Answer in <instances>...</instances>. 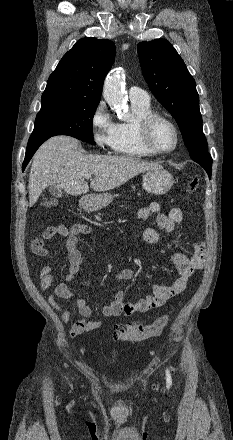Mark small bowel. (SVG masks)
Masks as SVG:
<instances>
[{"instance_id": "c3829d8e", "label": "small bowel", "mask_w": 233, "mask_h": 440, "mask_svg": "<svg viewBox=\"0 0 233 440\" xmlns=\"http://www.w3.org/2000/svg\"><path fill=\"white\" fill-rule=\"evenodd\" d=\"M150 215H155L157 226L167 233H172L177 224L182 222L184 216L182 211L174 207L168 214L161 212V206L158 202H151L148 207L141 208L137 212L139 219H147ZM91 232V227L84 223H76L67 227L65 225L52 226L45 229L31 243L32 251L38 256H47L49 248L47 241L56 237L66 238V249L70 262L69 271L66 281H73L77 278L78 273L86 261L87 256L82 254L77 248L78 238L81 235H87ZM144 240L149 244L158 243L162 236L159 231L152 227H148L143 232ZM194 252L190 255L184 252L173 253L171 259L179 273L178 278L171 285L156 284L153 287V294L142 298L135 302H125V293L118 290L114 293L113 298L102 308V315L105 317L116 316H132L134 314L145 313L151 309L162 307L169 299L182 293L190 277L196 270L202 269L206 259V248L202 241L194 243ZM134 277V271L125 268L119 271L115 280L117 282L130 280ZM55 276L52 268L45 265L40 273V288L42 291L47 290L54 282ZM70 300L74 299L75 305L81 318L75 321L70 328V336L77 337L83 333L91 332L102 327V322L90 320L92 315L91 308L86 301L81 298H73V294L67 286L66 282L56 286L54 293L49 296L50 305L58 311L59 318L62 322H68L71 319V313L61 306L57 299Z\"/></svg>"}]
</instances>
